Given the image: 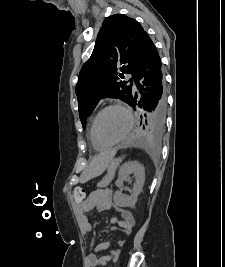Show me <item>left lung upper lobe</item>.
I'll use <instances>...</instances> for the list:
<instances>
[{
  "label": "left lung upper lobe",
  "mask_w": 225,
  "mask_h": 267,
  "mask_svg": "<svg viewBox=\"0 0 225 267\" xmlns=\"http://www.w3.org/2000/svg\"><path fill=\"white\" fill-rule=\"evenodd\" d=\"M146 35L139 22L126 15L115 14L104 20L75 90L83 128L86 118L102 98H117L130 104L132 83L127 85L120 79L124 78V73L134 75ZM118 69L122 73H118ZM141 118V125L147 132L158 135L163 131L165 121L157 123L150 114Z\"/></svg>",
  "instance_id": "1"
}]
</instances>
